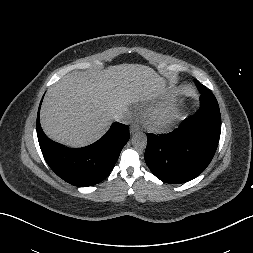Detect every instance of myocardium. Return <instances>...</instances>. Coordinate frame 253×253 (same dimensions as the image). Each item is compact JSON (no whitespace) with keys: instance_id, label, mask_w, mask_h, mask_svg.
Returning a JSON list of instances; mask_svg holds the SVG:
<instances>
[{"instance_id":"1","label":"myocardium","mask_w":253,"mask_h":253,"mask_svg":"<svg viewBox=\"0 0 253 253\" xmlns=\"http://www.w3.org/2000/svg\"><path fill=\"white\" fill-rule=\"evenodd\" d=\"M177 116L178 107L176 105L158 107L149 114L147 126L153 131L163 132L174 125Z\"/></svg>"}]
</instances>
